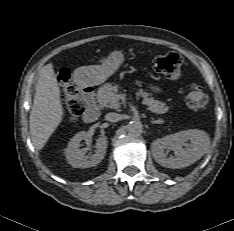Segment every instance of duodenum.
Masks as SVG:
<instances>
[{
  "label": "duodenum",
  "instance_id": "obj_1",
  "mask_svg": "<svg viewBox=\"0 0 234 231\" xmlns=\"http://www.w3.org/2000/svg\"><path fill=\"white\" fill-rule=\"evenodd\" d=\"M79 87L81 96L86 103V108L83 113V120L86 123L94 122L99 117L94 87L84 81L79 82Z\"/></svg>",
  "mask_w": 234,
  "mask_h": 231
}]
</instances>
